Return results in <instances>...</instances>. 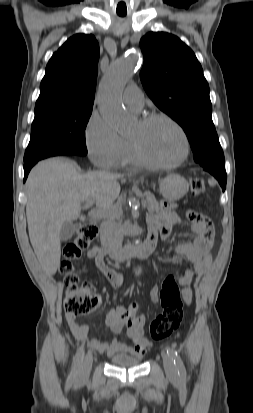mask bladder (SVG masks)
<instances>
[{
    "instance_id": "obj_1",
    "label": "bladder",
    "mask_w": 253,
    "mask_h": 413,
    "mask_svg": "<svg viewBox=\"0 0 253 413\" xmlns=\"http://www.w3.org/2000/svg\"><path fill=\"white\" fill-rule=\"evenodd\" d=\"M141 359L138 357L126 356V355H116L111 358V363L114 366L121 368H130L139 365Z\"/></svg>"
}]
</instances>
